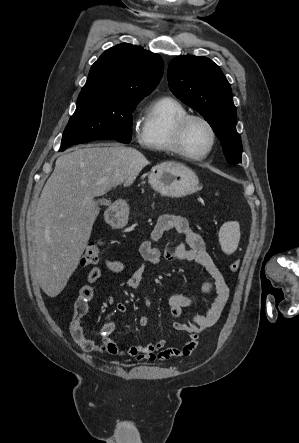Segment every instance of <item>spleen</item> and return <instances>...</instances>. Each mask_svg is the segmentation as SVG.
I'll return each instance as SVG.
<instances>
[{
	"instance_id": "3e777b00",
	"label": "spleen",
	"mask_w": 299,
	"mask_h": 443,
	"mask_svg": "<svg viewBox=\"0 0 299 443\" xmlns=\"http://www.w3.org/2000/svg\"><path fill=\"white\" fill-rule=\"evenodd\" d=\"M240 227L236 222L224 223L219 231V242L223 252L232 254L238 247Z\"/></svg>"
}]
</instances>
